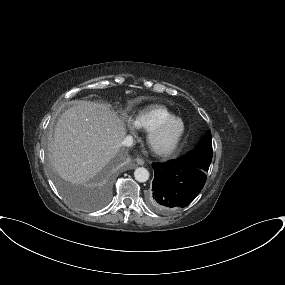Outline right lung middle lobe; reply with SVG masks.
<instances>
[{
    "label": "right lung middle lobe",
    "instance_id": "obj_1",
    "mask_svg": "<svg viewBox=\"0 0 285 285\" xmlns=\"http://www.w3.org/2000/svg\"><path fill=\"white\" fill-rule=\"evenodd\" d=\"M59 185H60V188L62 189L63 193H64L66 196H68L69 198H71V199L74 200L73 195L70 193V191L67 189V187H66L64 184L60 183V182H59Z\"/></svg>",
    "mask_w": 285,
    "mask_h": 285
}]
</instances>
